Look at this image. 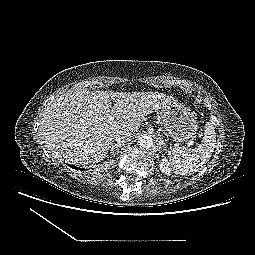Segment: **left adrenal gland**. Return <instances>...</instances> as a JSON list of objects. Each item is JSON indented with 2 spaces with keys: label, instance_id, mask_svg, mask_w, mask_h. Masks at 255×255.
Segmentation results:
<instances>
[{
  "label": "left adrenal gland",
  "instance_id": "a2214340",
  "mask_svg": "<svg viewBox=\"0 0 255 255\" xmlns=\"http://www.w3.org/2000/svg\"><path fill=\"white\" fill-rule=\"evenodd\" d=\"M158 146H159V150L161 149V148H163L164 150H166V144H165V142L160 138V140H159V144H158ZM158 150V151H159Z\"/></svg>",
  "mask_w": 255,
  "mask_h": 255
}]
</instances>
